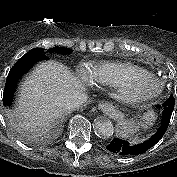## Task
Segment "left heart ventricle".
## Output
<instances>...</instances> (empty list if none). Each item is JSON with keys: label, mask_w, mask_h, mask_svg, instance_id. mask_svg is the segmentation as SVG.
<instances>
[{"label": "left heart ventricle", "mask_w": 177, "mask_h": 177, "mask_svg": "<svg viewBox=\"0 0 177 177\" xmlns=\"http://www.w3.org/2000/svg\"><path fill=\"white\" fill-rule=\"evenodd\" d=\"M128 84L134 91H153L156 89V84L147 79L133 78Z\"/></svg>", "instance_id": "obj_1"}]
</instances>
